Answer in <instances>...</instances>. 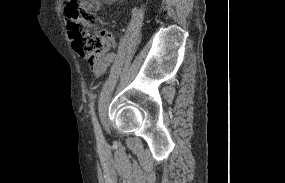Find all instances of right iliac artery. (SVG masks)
Returning a JSON list of instances; mask_svg holds the SVG:
<instances>
[{"label": "right iliac artery", "instance_id": "1", "mask_svg": "<svg viewBox=\"0 0 285 183\" xmlns=\"http://www.w3.org/2000/svg\"><path fill=\"white\" fill-rule=\"evenodd\" d=\"M91 114H92V121H93V124H94V129H95V134H96V138L99 142H103L104 141V138H103V135H102V131H101V128L98 124V121L96 119V116L94 114V109H93V102L91 103Z\"/></svg>", "mask_w": 285, "mask_h": 183}]
</instances>
